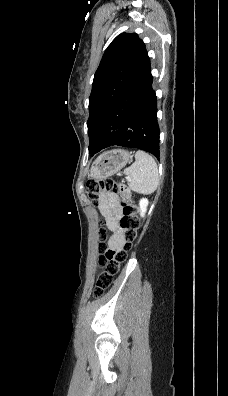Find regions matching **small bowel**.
I'll return each mask as SVG.
<instances>
[{
	"label": "small bowel",
	"instance_id": "small-bowel-1",
	"mask_svg": "<svg viewBox=\"0 0 228 396\" xmlns=\"http://www.w3.org/2000/svg\"><path fill=\"white\" fill-rule=\"evenodd\" d=\"M101 213L105 218L106 227L110 231L107 244L111 248H120L123 242L122 230L118 222L119 205L114 194L105 193L99 198Z\"/></svg>",
	"mask_w": 228,
	"mask_h": 396
}]
</instances>
